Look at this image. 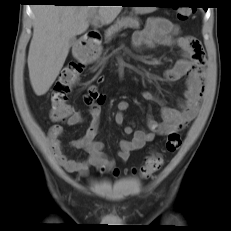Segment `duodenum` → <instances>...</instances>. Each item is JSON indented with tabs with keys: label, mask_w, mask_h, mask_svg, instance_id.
<instances>
[{
	"label": "duodenum",
	"mask_w": 231,
	"mask_h": 231,
	"mask_svg": "<svg viewBox=\"0 0 231 231\" xmlns=\"http://www.w3.org/2000/svg\"><path fill=\"white\" fill-rule=\"evenodd\" d=\"M84 38L85 42L94 43L100 39V34L96 31H89L85 33ZM85 52L86 50L77 49L78 54H84Z\"/></svg>",
	"instance_id": "duodenum-1"
}]
</instances>
